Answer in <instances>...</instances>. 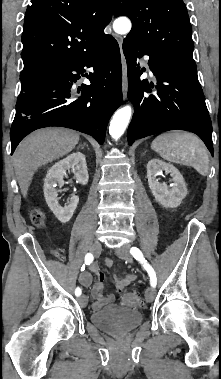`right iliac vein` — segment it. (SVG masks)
Listing matches in <instances>:
<instances>
[{
    "mask_svg": "<svg viewBox=\"0 0 221 379\" xmlns=\"http://www.w3.org/2000/svg\"><path fill=\"white\" fill-rule=\"evenodd\" d=\"M102 246L99 242L93 243V245L90 248V251L95 255L98 256L101 253ZM79 304L81 306H86L88 303V299L85 295H82L78 298Z\"/></svg>",
    "mask_w": 221,
    "mask_h": 379,
    "instance_id": "right-iliac-vein-1",
    "label": "right iliac vein"
}]
</instances>
